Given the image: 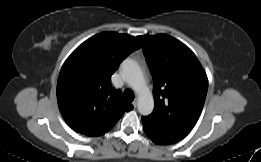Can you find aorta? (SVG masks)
<instances>
[{
	"mask_svg": "<svg viewBox=\"0 0 261 162\" xmlns=\"http://www.w3.org/2000/svg\"><path fill=\"white\" fill-rule=\"evenodd\" d=\"M121 71L126 82L138 95L139 113L141 115L151 114L154 108V99L138 63L132 59H125L121 64Z\"/></svg>",
	"mask_w": 261,
	"mask_h": 162,
	"instance_id": "1",
	"label": "aorta"
}]
</instances>
